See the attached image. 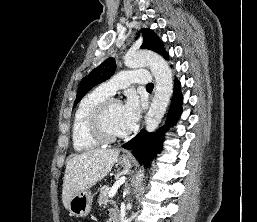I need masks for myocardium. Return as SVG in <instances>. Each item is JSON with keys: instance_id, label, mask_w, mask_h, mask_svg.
I'll return each mask as SVG.
<instances>
[{"instance_id": "myocardium-1", "label": "myocardium", "mask_w": 257, "mask_h": 222, "mask_svg": "<svg viewBox=\"0 0 257 222\" xmlns=\"http://www.w3.org/2000/svg\"><path fill=\"white\" fill-rule=\"evenodd\" d=\"M116 105H121V102L115 98H108L101 102L91 113L89 118V131L93 138L100 144H112L123 140L124 135L115 136L107 132L105 128V119L109 110Z\"/></svg>"}]
</instances>
